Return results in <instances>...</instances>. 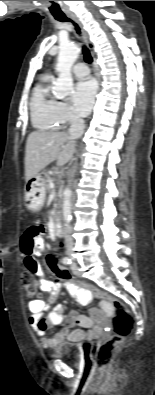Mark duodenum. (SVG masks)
Here are the masks:
<instances>
[{"mask_svg": "<svg viewBox=\"0 0 155 395\" xmlns=\"http://www.w3.org/2000/svg\"><path fill=\"white\" fill-rule=\"evenodd\" d=\"M53 229L57 236H63V227L60 217L56 216L53 221Z\"/></svg>", "mask_w": 155, "mask_h": 395, "instance_id": "410a0bca", "label": "duodenum"}]
</instances>
